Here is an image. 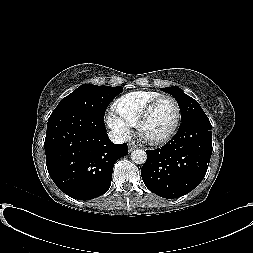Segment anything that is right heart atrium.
Masks as SVG:
<instances>
[{
	"instance_id": "1",
	"label": "right heart atrium",
	"mask_w": 253,
	"mask_h": 253,
	"mask_svg": "<svg viewBox=\"0 0 253 253\" xmlns=\"http://www.w3.org/2000/svg\"><path fill=\"white\" fill-rule=\"evenodd\" d=\"M106 123L118 138L127 139L130 136V126L114 111L109 110L107 112Z\"/></svg>"
}]
</instances>
